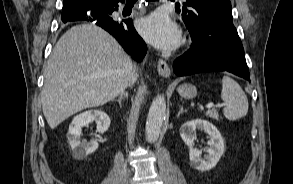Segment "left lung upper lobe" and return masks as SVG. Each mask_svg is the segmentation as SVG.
<instances>
[{"label":"left lung upper lobe","mask_w":293,"mask_h":184,"mask_svg":"<svg viewBox=\"0 0 293 184\" xmlns=\"http://www.w3.org/2000/svg\"><path fill=\"white\" fill-rule=\"evenodd\" d=\"M186 6L190 9H187ZM177 8L180 12V5ZM182 12L183 21L188 27H197L207 22H214L212 27L216 28L222 24L223 20L232 21L230 0H187Z\"/></svg>","instance_id":"left-lung-upper-lobe-1"}]
</instances>
